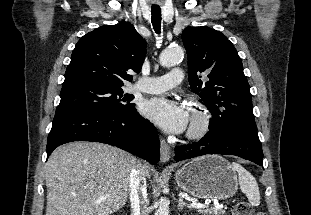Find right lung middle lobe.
Listing matches in <instances>:
<instances>
[{"instance_id":"1","label":"right lung middle lobe","mask_w":311,"mask_h":215,"mask_svg":"<svg viewBox=\"0 0 311 215\" xmlns=\"http://www.w3.org/2000/svg\"><path fill=\"white\" fill-rule=\"evenodd\" d=\"M61 101L56 113L86 111L107 115H120L136 111L132 95H123L121 87H109L94 83H76L63 86Z\"/></svg>"}]
</instances>
